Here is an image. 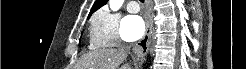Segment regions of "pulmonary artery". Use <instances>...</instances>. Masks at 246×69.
Segmentation results:
<instances>
[{
  "label": "pulmonary artery",
  "mask_w": 246,
  "mask_h": 69,
  "mask_svg": "<svg viewBox=\"0 0 246 69\" xmlns=\"http://www.w3.org/2000/svg\"><path fill=\"white\" fill-rule=\"evenodd\" d=\"M127 10L131 13H136L139 11V7H138V4L134 1H131L128 3L127 5Z\"/></svg>",
  "instance_id": "obj_1"
}]
</instances>
